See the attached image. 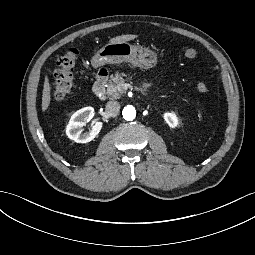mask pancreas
Wrapping results in <instances>:
<instances>
[{
  "label": "pancreas",
  "mask_w": 255,
  "mask_h": 255,
  "mask_svg": "<svg viewBox=\"0 0 255 255\" xmlns=\"http://www.w3.org/2000/svg\"><path fill=\"white\" fill-rule=\"evenodd\" d=\"M124 78L132 79V76L130 74H125L123 72H116V74L109 80V84L107 87V93L112 96L114 99L120 98L122 95L126 93V90L121 89L120 91L117 89V86L119 84L124 83L126 80Z\"/></svg>",
  "instance_id": "cf45deb5"
}]
</instances>
